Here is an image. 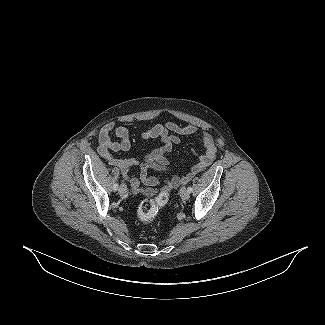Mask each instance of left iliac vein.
I'll list each match as a JSON object with an SVG mask.
<instances>
[{"label": "left iliac vein", "instance_id": "1", "mask_svg": "<svg viewBox=\"0 0 325 325\" xmlns=\"http://www.w3.org/2000/svg\"><path fill=\"white\" fill-rule=\"evenodd\" d=\"M180 196L183 200H187L190 197V193L186 187L180 189Z\"/></svg>", "mask_w": 325, "mask_h": 325}]
</instances>
